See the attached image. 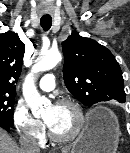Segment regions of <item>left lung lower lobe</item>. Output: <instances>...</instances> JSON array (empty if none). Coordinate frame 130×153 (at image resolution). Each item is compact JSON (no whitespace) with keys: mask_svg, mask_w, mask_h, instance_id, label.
<instances>
[{"mask_svg":"<svg viewBox=\"0 0 130 153\" xmlns=\"http://www.w3.org/2000/svg\"><path fill=\"white\" fill-rule=\"evenodd\" d=\"M118 102H120V103H124V101H118Z\"/></svg>","mask_w":130,"mask_h":153,"instance_id":"0a47b994","label":"left lung lower lobe"}]
</instances>
